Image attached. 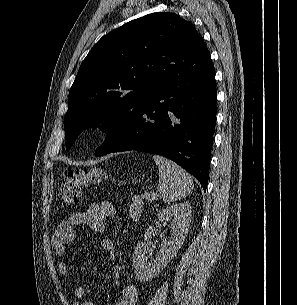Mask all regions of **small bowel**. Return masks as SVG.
I'll use <instances>...</instances> for the list:
<instances>
[{
    "mask_svg": "<svg viewBox=\"0 0 297 305\" xmlns=\"http://www.w3.org/2000/svg\"><path fill=\"white\" fill-rule=\"evenodd\" d=\"M116 215L114 206L109 202L93 203L84 212L71 215L67 220L61 222L52 237V247L57 255L63 256L76 237L79 227L87 226L95 232H104L108 219ZM102 249L112 258L115 256L116 249L113 242L109 239H103ZM60 274L68 279L69 270L64 261L58 265ZM85 288L77 286L74 290V296L78 300L77 305H94L88 300H83ZM139 296L138 288L135 284H127L122 288L121 299L116 305H135Z\"/></svg>",
    "mask_w": 297,
    "mask_h": 305,
    "instance_id": "1",
    "label": "small bowel"
}]
</instances>
